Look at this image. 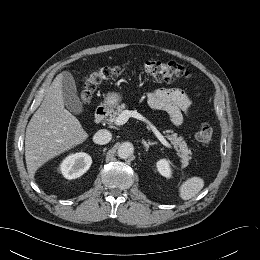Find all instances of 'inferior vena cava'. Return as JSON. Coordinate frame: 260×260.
Masks as SVG:
<instances>
[{
    "instance_id": "1",
    "label": "inferior vena cava",
    "mask_w": 260,
    "mask_h": 260,
    "mask_svg": "<svg viewBox=\"0 0 260 260\" xmlns=\"http://www.w3.org/2000/svg\"><path fill=\"white\" fill-rule=\"evenodd\" d=\"M111 139L112 134L106 129H101L97 131L93 137L94 142L100 145L109 143Z\"/></svg>"
}]
</instances>
